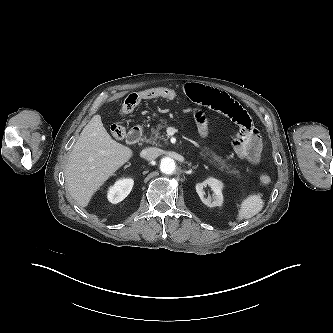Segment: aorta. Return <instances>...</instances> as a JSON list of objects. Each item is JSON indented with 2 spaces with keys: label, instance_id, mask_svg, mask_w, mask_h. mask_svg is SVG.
<instances>
[{
  "label": "aorta",
  "instance_id": "762f6f07",
  "mask_svg": "<svg viewBox=\"0 0 333 333\" xmlns=\"http://www.w3.org/2000/svg\"><path fill=\"white\" fill-rule=\"evenodd\" d=\"M176 164L175 161L170 157L162 158L160 162V170L165 174H172L175 171Z\"/></svg>",
  "mask_w": 333,
  "mask_h": 333
}]
</instances>
